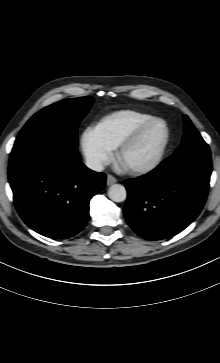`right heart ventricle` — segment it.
Listing matches in <instances>:
<instances>
[{
    "label": "right heart ventricle",
    "instance_id": "1",
    "mask_svg": "<svg viewBox=\"0 0 220 363\" xmlns=\"http://www.w3.org/2000/svg\"><path fill=\"white\" fill-rule=\"evenodd\" d=\"M154 118L152 115L136 110H120L101 118L95 129L101 139L111 148L119 143L135 128Z\"/></svg>",
    "mask_w": 220,
    "mask_h": 363
}]
</instances>
